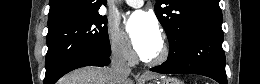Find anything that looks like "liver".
<instances>
[{"mask_svg": "<svg viewBox=\"0 0 260 84\" xmlns=\"http://www.w3.org/2000/svg\"><path fill=\"white\" fill-rule=\"evenodd\" d=\"M157 76V74H144L137 79V84H144L145 81ZM59 84H134V81L116 75L111 68L90 66L65 75Z\"/></svg>", "mask_w": 260, "mask_h": 84, "instance_id": "obj_1", "label": "liver"}]
</instances>
